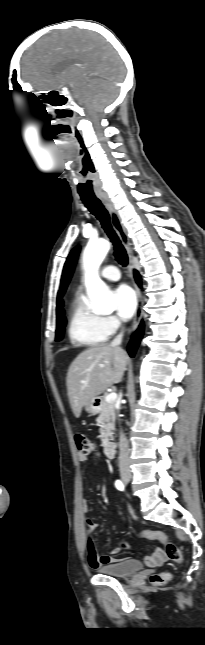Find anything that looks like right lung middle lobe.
I'll list each match as a JSON object with an SVG mask.
<instances>
[{
	"label": "right lung middle lobe",
	"instance_id": "dd1d6c3e",
	"mask_svg": "<svg viewBox=\"0 0 205 645\" xmlns=\"http://www.w3.org/2000/svg\"><path fill=\"white\" fill-rule=\"evenodd\" d=\"M65 325L66 318L63 313L61 317L57 319L56 341H60L62 339Z\"/></svg>",
	"mask_w": 205,
	"mask_h": 645
}]
</instances>
